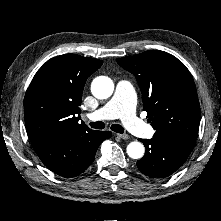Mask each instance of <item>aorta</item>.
Returning <instances> with one entry per match:
<instances>
[{
    "label": "aorta",
    "instance_id": "762f6f07",
    "mask_svg": "<svg viewBox=\"0 0 221 221\" xmlns=\"http://www.w3.org/2000/svg\"><path fill=\"white\" fill-rule=\"evenodd\" d=\"M114 90L113 81L106 76L95 78L91 84V92L97 99L110 97ZM127 154L132 159H140L144 155V146L140 142H131L127 146Z\"/></svg>",
    "mask_w": 221,
    "mask_h": 221
}]
</instances>
